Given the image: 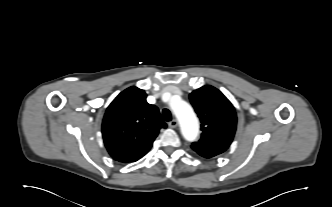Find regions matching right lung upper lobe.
I'll return each mask as SVG.
<instances>
[{"label": "right lung upper lobe", "mask_w": 332, "mask_h": 207, "mask_svg": "<svg viewBox=\"0 0 332 207\" xmlns=\"http://www.w3.org/2000/svg\"><path fill=\"white\" fill-rule=\"evenodd\" d=\"M146 93L137 87L121 92L106 110L102 134L109 154L127 163L142 158L151 148L162 121L156 106L146 101Z\"/></svg>", "instance_id": "cb5924a9"}]
</instances>
